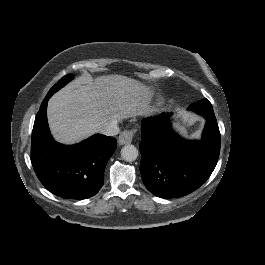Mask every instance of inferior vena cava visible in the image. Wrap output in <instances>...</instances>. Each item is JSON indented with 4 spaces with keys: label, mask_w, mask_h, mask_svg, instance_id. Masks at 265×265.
Returning <instances> with one entry per match:
<instances>
[{
    "label": "inferior vena cava",
    "mask_w": 265,
    "mask_h": 265,
    "mask_svg": "<svg viewBox=\"0 0 265 265\" xmlns=\"http://www.w3.org/2000/svg\"><path fill=\"white\" fill-rule=\"evenodd\" d=\"M119 131L117 121H112L100 129V133L107 136H115L119 133Z\"/></svg>",
    "instance_id": "602c4592"
}]
</instances>
